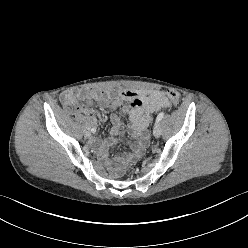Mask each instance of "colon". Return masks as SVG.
Returning a JSON list of instances; mask_svg holds the SVG:
<instances>
[{"label":"colon","mask_w":248,"mask_h":248,"mask_svg":"<svg viewBox=\"0 0 248 248\" xmlns=\"http://www.w3.org/2000/svg\"><path fill=\"white\" fill-rule=\"evenodd\" d=\"M163 95L167 98V100H169V102L173 106L177 107L179 105L180 97L177 92L172 90H166Z\"/></svg>","instance_id":"colon-1"}]
</instances>
